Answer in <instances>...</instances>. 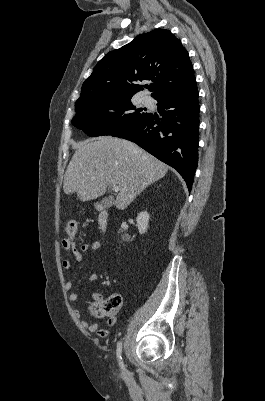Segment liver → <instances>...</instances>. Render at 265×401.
I'll use <instances>...</instances> for the list:
<instances>
[{
    "label": "liver",
    "mask_w": 265,
    "mask_h": 401,
    "mask_svg": "<svg viewBox=\"0 0 265 401\" xmlns=\"http://www.w3.org/2000/svg\"><path fill=\"white\" fill-rule=\"evenodd\" d=\"M64 178V192L80 201L105 194L108 184L120 186L114 203L126 209L148 184L165 176L168 166L143 148L122 138L97 136L76 142Z\"/></svg>",
    "instance_id": "obj_1"
}]
</instances>
